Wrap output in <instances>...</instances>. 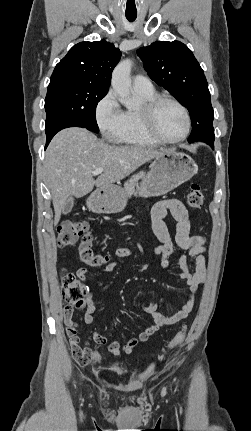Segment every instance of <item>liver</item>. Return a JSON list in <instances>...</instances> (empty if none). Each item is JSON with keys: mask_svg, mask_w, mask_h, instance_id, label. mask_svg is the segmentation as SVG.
<instances>
[{"mask_svg": "<svg viewBox=\"0 0 251 431\" xmlns=\"http://www.w3.org/2000/svg\"><path fill=\"white\" fill-rule=\"evenodd\" d=\"M167 151L109 145L84 128L60 131L50 142L44 160V177L55 212L54 224L59 223L62 207L69 198H81L94 186L107 188ZM97 168L104 171L95 180L92 172Z\"/></svg>", "mask_w": 251, "mask_h": 431, "instance_id": "obj_1", "label": "liver"}]
</instances>
